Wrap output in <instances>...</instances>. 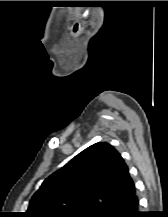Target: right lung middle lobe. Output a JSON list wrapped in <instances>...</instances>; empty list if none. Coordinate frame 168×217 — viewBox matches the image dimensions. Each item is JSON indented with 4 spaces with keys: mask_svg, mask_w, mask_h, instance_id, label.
I'll return each instance as SVG.
<instances>
[{
    "mask_svg": "<svg viewBox=\"0 0 168 217\" xmlns=\"http://www.w3.org/2000/svg\"><path fill=\"white\" fill-rule=\"evenodd\" d=\"M77 217H90L89 215H81V216H77Z\"/></svg>",
    "mask_w": 168,
    "mask_h": 217,
    "instance_id": "right-lung-middle-lobe-1",
    "label": "right lung middle lobe"
}]
</instances>
